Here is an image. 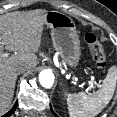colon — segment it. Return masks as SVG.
Masks as SVG:
<instances>
[{
    "label": "colon",
    "instance_id": "colon-1",
    "mask_svg": "<svg viewBox=\"0 0 117 117\" xmlns=\"http://www.w3.org/2000/svg\"><path fill=\"white\" fill-rule=\"evenodd\" d=\"M84 38L89 47L90 56L95 65L100 69L105 68L107 66V59L104 46L100 43L97 36L91 31L86 32Z\"/></svg>",
    "mask_w": 117,
    "mask_h": 117
}]
</instances>
